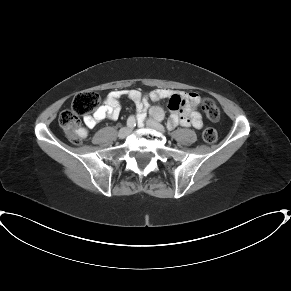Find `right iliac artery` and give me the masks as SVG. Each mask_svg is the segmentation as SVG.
Wrapping results in <instances>:
<instances>
[{
  "label": "right iliac artery",
  "mask_w": 291,
  "mask_h": 291,
  "mask_svg": "<svg viewBox=\"0 0 291 291\" xmlns=\"http://www.w3.org/2000/svg\"><path fill=\"white\" fill-rule=\"evenodd\" d=\"M136 126V119L134 116H130L127 120V127L128 128H133Z\"/></svg>",
  "instance_id": "obj_1"
}]
</instances>
